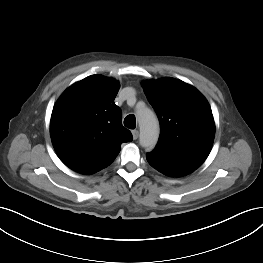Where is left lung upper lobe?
<instances>
[{
  "mask_svg": "<svg viewBox=\"0 0 263 263\" xmlns=\"http://www.w3.org/2000/svg\"><path fill=\"white\" fill-rule=\"evenodd\" d=\"M160 123L153 151L176 158L205 160L210 153L215 123L205 97L193 86L174 78L142 83Z\"/></svg>",
  "mask_w": 263,
  "mask_h": 263,
  "instance_id": "left-lung-upper-lobe-1",
  "label": "left lung upper lobe"
}]
</instances>
